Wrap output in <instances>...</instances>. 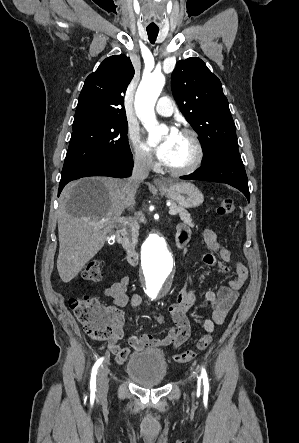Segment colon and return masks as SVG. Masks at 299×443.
Listing matches in <instances>:
<instances>
[{
	"label": "colon",
	"mask_w": 299,
	"mask_h": 443,
	"mask_svg": "<svg viewBox=\"0 0 299 443\" xmlns=\"http://www.w3.org/2000/svg\"><path fill=\"white\" fill-rule=\"evenodd\" d=\"M233 211V198L222 197L217 207V213L220 216H229ZM83 278L91 283H99L103 279V272L98 260H92L86 264ZM69 307L90 338L102 342L113 338L117 317L112 309L104 306L97 298L91 296L72 298L69 300ZM212 341V335L205 334L197 341L196 350L177 353L173 356V360L176 363L194 360L198 352L205 350Z\"/></svg>",
	"instance_id": "1"
}]
</instances>
